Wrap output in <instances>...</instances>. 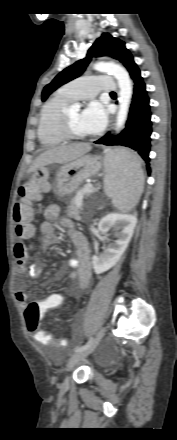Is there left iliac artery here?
Instances as JSON below:
<instances>
[{
	"instance_id": "obj_1",
	"label": "left iliac artery",
	"mask_w": 177,
	"mask_h": 440,
	"mask_svg": "<svg viewBox=\"0 0 177 440\" xmlns=\"http://www.w3.org/2000/svg\"><path fill=\"white\" fill-rule=\"evenodd\" d=\"M93 340H94L93 338H90L89 341L85 345H83L79 348H76L74 351L79 352V351L85 350L86 348H88L92 344Z\"/></svg>"
}]
</instances>
